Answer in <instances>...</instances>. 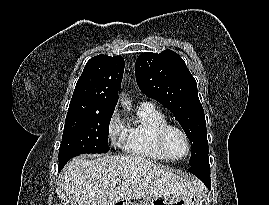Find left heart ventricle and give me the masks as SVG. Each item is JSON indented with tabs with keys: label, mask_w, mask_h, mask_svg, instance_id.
Here are the masks:
<instances>
[{
	"label": "left heart ventricle",
	"mask_w": 269,
	"mask_h": 205,
	"mask_svg": "<svg viewBox=\"0 0 269 205\" xmlns=\"http://www.w3.org/2000/svg\"><path fill=\"white\" fill-rule=\"evenodd\" d=\"M167 148L175 157H182L187 152V144L183 135L178 131H171L167 137Z\"/></svg>",
	"instance_id": "b2bd125f"
}]
</instances>
